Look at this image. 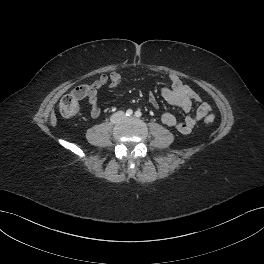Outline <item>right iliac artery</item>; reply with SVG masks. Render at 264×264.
Segmentation results:
<instances>
[{
    "label": "right iliac artery",
    "instance_id": "right-iliac-artery-1",
    "mask_svg": "<svg viewBox=\"0 0 264 264\" xmlns=\"http://www.w3.org/2000/svg\"><path fill=\"white\" fill-rule=\"evenodd\" d=\"M133 114V111L131 109H128L126 111V116H131Z\"/></svg>",
    "mask_w": 264,
    "mask_h": 264
}]
</instances>
